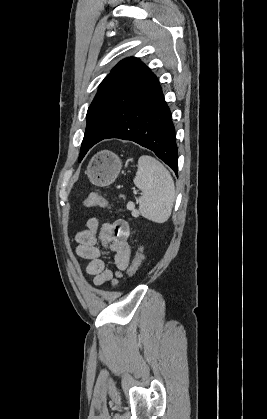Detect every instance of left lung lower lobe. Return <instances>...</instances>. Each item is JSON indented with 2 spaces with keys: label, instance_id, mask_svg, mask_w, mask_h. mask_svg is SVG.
<instances>
[{
  "label": "left lung lower lobe",
  "instance_id": "obj_1",
  "mask_svg": "<svg viewBox=\"0 0 267 419\" xmlns=\"http://www.w3.org/2000/svg\"><path fill=\"white\" fill-rule=\"evenodd\" d=\"M109 121L112 129L106 134L102 132L97 138L94 136L90 139L89 149L104 139L131 140L152 150L177 175L178 149L175 129L156 77L137 94L128 108L114 112ZM82 158L80 157V160Z\"/></svg>",
  "mask_w": 267,
  "mask_h": 419
}]
</instances>
